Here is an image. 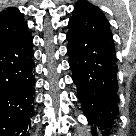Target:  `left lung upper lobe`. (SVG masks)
Instances as JSON below:
<instances>
[{
	"instance_id": "obj_1",
	"label": "left lung upper lobe",
	"mask_w": 136,
	"mask_h": 136,
	"mask_svg": "<svg viewBox=\"0 0 136 136\" xmlns=\"http://www.w3.org/2000/svg\"><path fill=\"white\" fill-rule=\"evenodd\" d=\"M85 9H98V8L87 1H80L75 5V9L73 11V14L78 13V12L85 10Z\"/></svg>"
}]
</instances>
